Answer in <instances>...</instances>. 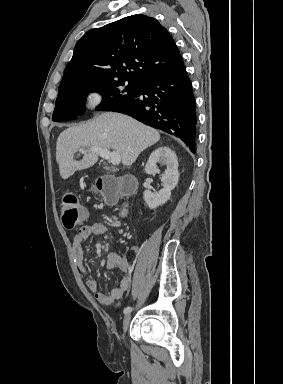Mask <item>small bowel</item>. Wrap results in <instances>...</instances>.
<instances>
[{
    "instance_id": "1",
    "label": "small bowel",
    "mask_w": 283,
    "mask_h": 384,
    "mask_svg": "<svg viewBox=\"0 0 283 384\" xmlns=\"http://www.w3.org/2000/svg\"><path fill=\"white\" fill-rule=\"evenodd\" d=\"M107 232V227L103 223L95 222L80 227L73 237L72 252L75 262L79 269L86 274L84 265V252L82 243L93 235H103ZM105 268L114 269L122 274L119 285L113 288L108 295L102 293L98 288V283L94 279H88L86 286L93 294L94 298L103 305H111L123 297L130 286V267L126 260L115 253H109L105 259Z\"/></svg>"
}]
</instances>
